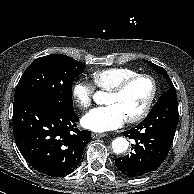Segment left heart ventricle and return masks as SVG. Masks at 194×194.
<instances>
[{"instance_id":"b2bd125f","label":"left heart ventricle","mask_w":194,"mask_h":194,"mask_svg":"<svg viewBox=\"0 0 194 194\" xmlns=\"http://www.w3.org/2000/svg\"><path fill=\"white\" fill-rule=\"evenodd\" d=\"M151 90L150 81L141 78L132 82L120 95L108 94L106 104L116 106L125 119H128L142 111L149 99Z\"/></svg>"}]
</instances>
